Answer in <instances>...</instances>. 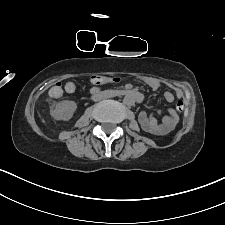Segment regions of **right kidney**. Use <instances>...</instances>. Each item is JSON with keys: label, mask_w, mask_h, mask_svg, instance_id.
Segmentation results:
<instances>
[{"label": "right kidney", "mask_w": 225, "mask_h": 225, "mask_svg": "<svg viewBox=\"0 0 225 225\" xmlns=\"http://www.w3.org/2000/svg\"><path fill=\"white\" fill-rule=\"evenodd\" d=\"M77 109V104L74 101H61L55 104L50 110L51 116L56 120L68 121L73 117Z\"/></svg>", "instance_id": "1"}]
</instances>
